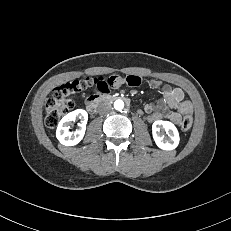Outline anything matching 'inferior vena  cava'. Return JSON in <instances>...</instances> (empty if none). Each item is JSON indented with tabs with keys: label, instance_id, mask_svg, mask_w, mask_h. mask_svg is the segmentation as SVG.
I'll return each mask as SVG.
<instances>
[{
	"label": "inferior vena cava",
	"instance_id": "inferior-vena-cava-1",
	"mask_svg": "<svg viewBox=\"0 0 231 231\" xmlns=\"http://www.w3.org/2000/svg\"><path fill=\"white\" fill-rule=\"evenodd\" d=\"M111 109H112L111 104L109 102H106V101L100 102L98 107H97V111L100 114H107L111 111Z\"/></svg>",
	"mask_w": 231,
	"mask_h": 231
}]
</instances>
